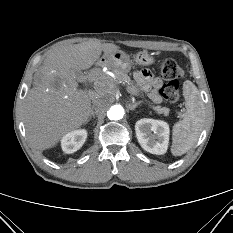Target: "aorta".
Here are the masks:
<instances>
[{"label": "aorta", "mask_w": 233, "mask_h": 233, "mask_svg": "<svg viewBox=\"0 0 233 233\" xmlns=\"http://www.w3.org/2000/svg\"><path fill=\"white\" fill-rule=\"evenodd\" d=\"M124 115V109L119 104H109L108 105V111L107 116L110 120H120L123 118Z\"/></svg>", "instance_id": "762f6f07"}]
</instances>
